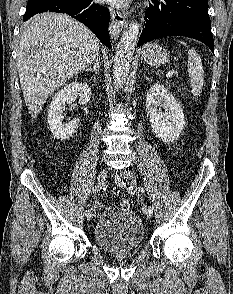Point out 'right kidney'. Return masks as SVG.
Instances as JSON below:
<instances>
[{
    "label": "right kidney",
    "mask_w": 233,
    "mask_h": 294,
    "mask_svg": "<svg viewBox=\"0 0 233 294\" xmlns=\"http://www.w3.org/2000/svg\"><path fill=\"white\" fill-rule=\"evenodd\" d=\"M79 96V103L84 105L90 101L91 88L82 82H72L56 93L50 103L47 121L53 135L60 140L68 139L78 127L79 119L63 123L66 103H72Z\"/></svg>",
    "instance_id": "right-kidney-1"
}]
</instances>
